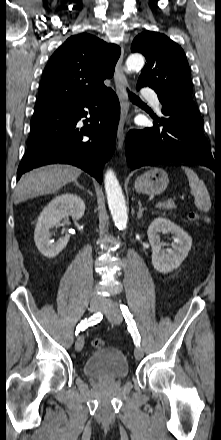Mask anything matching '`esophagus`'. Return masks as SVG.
<instances>
[{
	"mask_svg": "<svg viewBox=\"0 0 221 440\" xmlns=\"http://www.w3.org/2000/svg\"><path fill=\"white\" fill-rule=\"evenodd\" d=\"M123 59H124V48L122 46L121 55L117 61L115 67V73H114V83L116 87V93L120 100V106H121V114H120L118 130H117L118 150H121L123 147V143L125 139V131H126L125 122L128 117L129 106H130L128 100V93H127L128 83L122 69Z\"/></svg>",
	"mask_w": 221,
	"mask_h": 440,
	"instance_id": "1",
	"label": "esophagus"
}]
</instances>
